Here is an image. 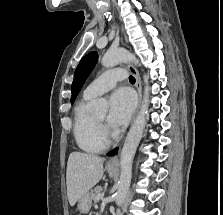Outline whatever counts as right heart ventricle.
Segmentation results:
<instances>
[{
    "label": "right heart ventricle",
    "mask_w": 223,
    "mask_h": 215,
    "mask_svg": "<svg viewBox=\"0 0 223 215\" xmlns=\"http://www.w3.org/2000/svg\"><path fill=\"white\" fill-rule=\"evenodd\" d=\"M93 97L83 96L74 109L73 137L77 146L87 153H101L106 145L98 138L95 115L88 111Z\"/></svg>",
    "instance_id": "right-heart-ventricle-1"
}]
</instances>
